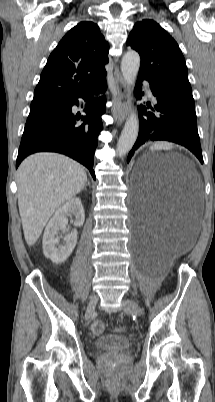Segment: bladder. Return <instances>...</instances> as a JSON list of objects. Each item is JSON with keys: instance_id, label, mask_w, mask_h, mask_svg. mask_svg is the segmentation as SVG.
Instances as JSON below:
<instances>
[{"instance_id": "31cf9c89", "label": "bladder", "mask_w": 215, "mask_h": 402, "mask_svg": "<svg viewBox=\"0 0 215 402\" xmlns=\"http://www.w3.org/2000/svg\"><path fill=\"white\" fill-rule=\"evenodd\" d=\"M131 346V342L127 337L119 335H103L94 341V347L100 351L106 352H122Z\"/></svg>"}]
</instances>
